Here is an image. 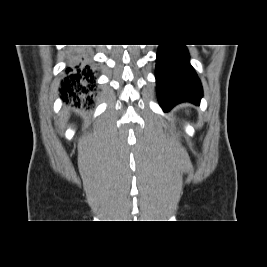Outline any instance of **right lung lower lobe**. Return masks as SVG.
I'll return each instance as SVG.
<instances>
[{
	"instance_id": "obj_1",
	"label": "right lung lower lobe",
	"mask_w": 267,
	"mask_h": 267,
	"mask_svg": "<svg viewBox=\"0 0 267 267\" xmlns=\"http://www.w3.org/2000/svg\"><path fill=\"white\" fill-rule=\"evenodd\" d=\"M70 65L65 69L59 92L66 103L80 106L83 102H92L89 93L95 86L94 72L87 65L88 59L83 51H74Z\"/></svg>"
}]
</instances>
